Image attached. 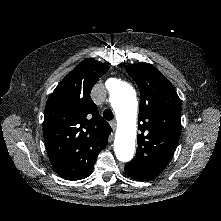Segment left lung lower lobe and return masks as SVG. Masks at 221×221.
Returning <instances> with one entry per match:
<instances>
[{
  "mask_svg": "<svg viewBox=\"0 0 221 221\" xmlns=\"http://www.w3.org/2000/svg\"><path fill=\"white\" fill-rule=\"evenodd\" d=\"M125 172L132 179L140 180V181L150 180V179L158 176V175H139V174L131 172V171L127 170V169H125Z\"/></svg>",
  "mask_w": 221,
  "mask_h": 221,
  "instance_id": "left-lung-lower-lobe-1",
  "label": "left lung lower lobe"
}]
</instances>
